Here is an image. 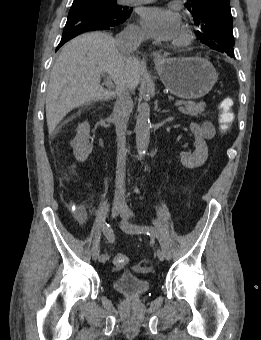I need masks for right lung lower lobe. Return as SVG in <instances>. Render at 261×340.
<instances>
[{
  "label": "right lung lower lobe",
  "mask_w": 261,
  "mask_h": 340,
  "mask_svg": "<svg viewBox=\"0 0 261 340\" xmlns=\"http://www.w3.org/2000/svg\"><path fill=\"white\" fill-rule=\"evenodd\" d=\"M130 14L125 17L116 18L112 15L102 14L96 9L85 7L71 8L63 30L62 39L57 49L73 37L83 32L107 30L113 26L119 25L123 23L130 16Z\"/></svg>",
  "instance_id": "right-lung-lower-lobe-1"
}]
</instances>
